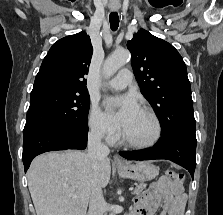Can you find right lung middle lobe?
Instances as JSON below:
<instances>
[{"label": "right lung middle lobe", "mask_w": 223, "mask_h": 215, "mask_svg": "<svg viewBox=\"0 0 223 215\" xmlns=\"http://www.w3.org/2000/svg\"><path fill=\"white\" fill-rule=\"evenodd\" d=\"M89 95L44 91L31 93L23 135L51 128L88 132Z\"/></svg>", "instance_id": "right-lung-middle-lobe-1"}]
</instances>
